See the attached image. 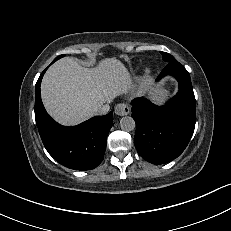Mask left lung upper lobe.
Wrapping results in <instances>:
<instances>
[{
	"label": "left lung upper lobe",
	"instance_id": "5c2ea615",
	"mask_svg": "<svg viewBox=\"0 0 231 231\" xmlns=\"http://www.w3.org/2000/svg\"><path fill=\"white\" fill-rule=\"evenodd\" d=\"M162 56H163V60L167 63L173 62V61H177L172 55H170L169 53L166 52H161Z\"/></svg>",
	"mask_w": 231,
	"mask_h": 231
}]
</instances>
